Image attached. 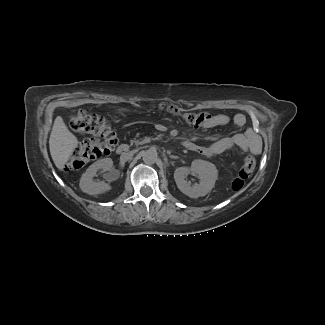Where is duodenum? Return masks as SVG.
Instances as JSON below:
<instances>
[{
  "instance_id": "1",
  "label": "duodenum",
  "mask_w": 325,
  "mask_h": 325,
  "mask_svg": "<svg viewBox=\"0 0 325 325\" xmlns=\"http://www.w3.org/2000/svg\"><path fill=\"white\" fill-rule=\"evenodd\" d=\"M189 144H192L190 142H187L184 144L185 147H188ZM129 152V146L127 144H121L119 147H118V154L120 156H125L127 155Z\"/></svg>"
}]
</instances>
